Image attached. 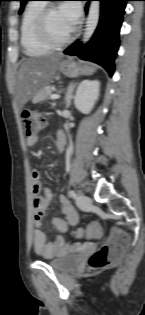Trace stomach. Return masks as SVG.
Returning a JSON list of instances; mask_svg holds the SVG:
<instances>
[{
	"label": "stomach",
	"instance_id": "stomach-1",
	"mask_svg": "<svg viewBox=\"0 0 145 315\" xmlns=\"http://www.w3.org/2000/svg\"><path fill=\"white\" fill-rule=\"evenodd\" d=\"M70 69L73 70V75L68 77H76L78 75H90L94 72V68L90 65H79L71 60ZM62 72V71H61Z\"/></svg>",
	"mask_w": 145,
	"mask_h": 315
}]
</instances>
